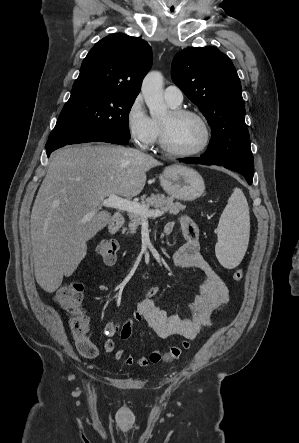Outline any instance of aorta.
Returning <instances> with one entry per match:
<instances>
[{"label":"aorta","instance_id":"762f6f07","mask_svg":"<svg viewBox=\"0 0 299 443\" xmlns=\"http://www.w3.org/2000/svg\"><path fill=\"white\" fill-rule=\"evenodd\" d=\"M141 92L152 118L167 115V106L163 98V76L158 71L149 72L143 79Z\"/></svg>","mask_w":299,"mask_h":443}]
</instances>
